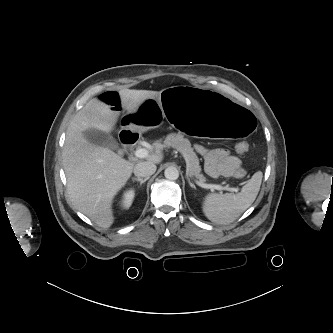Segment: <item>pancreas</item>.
Returning <instances> with one entry per match:
<instances>
[{
  "instance_id": "pancreas-1",
  "label": "pancreas",
  "mask_w": 333,
  "mask_h": 333,
  "mask_svg": "<svg viewBox=\"0 0 333 333\" xmlns=\"http://www.w3.org/2000/svg\"><path fill=\"white\" fill-rule=\"evenodd\" d=\"M157 148L173 147L183 154L186 160L187 174L190 177H195L200 182H205V177L201 174L199 159L191 147V143L187 138H184L180 133L168 134L164 140L163 145L160 143L155 144Z\"/></svg>"
}]
</instances>
